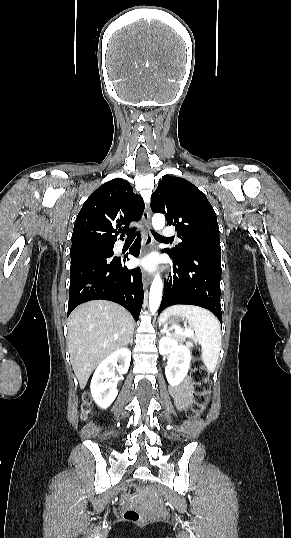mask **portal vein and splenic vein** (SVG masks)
I'll use <instances>...</instances> for the list:
<instances>
[{
	"instance_id": "18ae733b",
	"label": "portal vein and splenic vein",
	"mask_w": 291,
	"mask_h": 538,
	"mask_svg": "<svg viewBox=\"0 0 291 538\" xmlns=\"http://www.w3.org/2000/svg\"><path fill=\"white\" fill-rule=\"evenodd\" d=\"M181 334L184 335V336H192L193 332L187 331V332H182Z\"/></svg>"
}]
</instances>
